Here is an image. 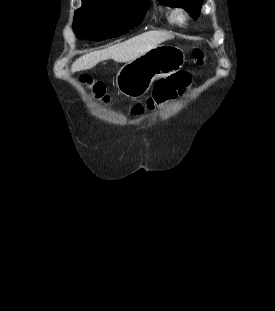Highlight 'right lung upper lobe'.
<instances>
[{"mask_svg":"<svg viewBox=\"0 0 275 311\" xmlns=\"http://www.w3.org/2000/svg\"><path fill=\"white\" fill-rule=\"evenodd\" d=\"M93 1H123V0H82V4L93 2Z\"/></svg>","mask_w":275,"mask_h":311,"instance_id":"1","label":"right lung upper lobe"}]
</instances>
